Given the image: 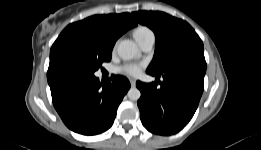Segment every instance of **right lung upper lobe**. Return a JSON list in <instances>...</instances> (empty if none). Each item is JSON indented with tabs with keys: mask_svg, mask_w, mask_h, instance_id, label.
<instances>
[{
	"mask_svg": "<svg viewBox=\"0 0 261 150\" xmlns=\"http://www.w3.org/2000/svg\"><path fill=\"white\" fill-rule=\"evenodd\" d=\"M137 22L129 13L94 15L82 21L68 25L59 35L63 37L72 32L84 31L99 36L103 41L114 46L116 40L128 29L135 27ZM54 80L49 79L51 84Z\"/></svg>",
	"mask_w": 261,
	"mask_h": 150,
	"instance_id": "cb5924a9",
	"label": "right lung upper lobe"
}]
</instances>
